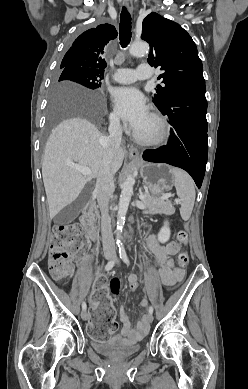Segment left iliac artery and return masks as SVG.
<instances>
[{"label":"left iliac artery","mask_w":248,"mask_h":389,"mask_svg":"<svg viewBox=\"0 0 248 389\" xmlns=\"http://www.w3.org/2000/svg\"><path fill=\"white\" fill-rule=\"evenodd\" d=\"M119 254H120V258L126 263V264H130L129 262V259L127 257V254H126V251H125V248L123 246H121L119 248ZM149 313L152 314L153 313V307L150 306L149 307Z\"/></svg>","instance_id":"left-iliac-artery-1"}]
</instances>
